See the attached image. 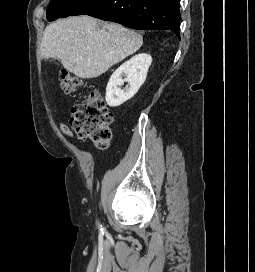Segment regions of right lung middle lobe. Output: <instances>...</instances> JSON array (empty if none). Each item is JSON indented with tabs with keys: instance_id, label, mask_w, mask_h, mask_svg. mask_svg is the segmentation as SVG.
Listing matches in <instances>:
<instances>
[{
	"instance_id": "dd1d6c3e",
	"label": "right lung middle lobe",
	"mask_w": 255,
	"mask_h": 272,
	"mask_svg": "<svg viewBox=\"0 0 255 272\" xmlns=\"http://www.w3.org/2000/svg\"><path fill=\"white\" fill-rule=\"evenodd\" d=\"M90 0H52L47 8V19L53 21L70 16Z\"/></svg>"
}]
</instances>
